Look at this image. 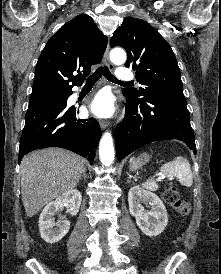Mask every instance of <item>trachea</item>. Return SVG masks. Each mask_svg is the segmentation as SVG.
<instances>
[{"mask_svg": "<svg viewBox=\"0 0 221 274\" xmlns=\"http://www.w3.org/2000/svg\"><path fill=\"white\" fill-rule=\"evenodd\" d=\"M102 75H104L108 81H112L114 83H130L117 80L106 66H101L87 79L85 86L94 85L102 77Z\"/></svg>", "mask_w": 221, "mask_h": 274, "instance_id": "obj_1", "label": "trachea"}]
</instances>
